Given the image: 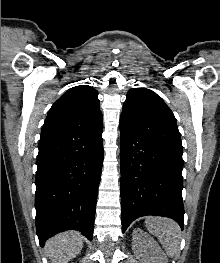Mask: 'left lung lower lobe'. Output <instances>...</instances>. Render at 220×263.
<instances>
[{
  "instance_id": "obj_1",
  "label": "left lung lower lobe",
  "mask_w": 220,
  "mask_h": 263,
  "mask_svg": "<svg viewBox=\"0 0 220 263\" xmlns=\"http://www.w3.org/2000/svg\"><path fill=\"white\" fill-rule=\"evenodd\" d=\"M122 232L145 215L174 219L183 229L182 153L120 125Z\"/></svg>"
}]
</instances>
